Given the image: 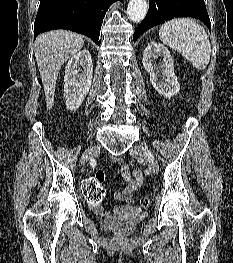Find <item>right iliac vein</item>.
<instances>
[{
	"label": "right iliac vein",
	"instance_id": "1",
	"mask_svg": "<svg viewBox=\"0 0 233 263\" xmlns=\"http://www.w3.org/2000/svg\"><path fill=\"white\" fill-rule=\"evenodd\" d=\"M99 151V146H94L87 149L81 158V164H85L91 157L95 156Z\"/></svg>",
	"mask_w": 233,
	"mask_h": 263
}]
</instances>
